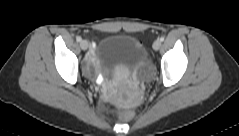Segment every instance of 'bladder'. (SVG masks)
Instances as JSON below:
<instances>
[{"mask_svg": "<svg viewBox=\"0 0 239 136\" xmlns=\"http://www.w3.org/2000/svg\"><path fill=\"white\" fill-rule=\"evenodd\" d=\"M147 61V49L129 34L105 37L95 58L97 69L110 78H114L120 68L125 69L128 77H133Z\"/></svg>", "mask_w": 239, "mask_h": 136, "instance_id": "obj_1", "label": "bladder"}]
</instances>
